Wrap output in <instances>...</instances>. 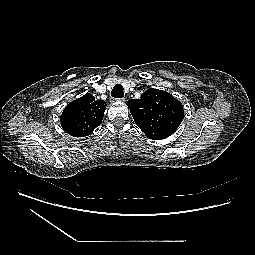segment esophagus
I'll use <instances>...</instances> for the list:
<instances>
[{"mask_svg": "<svg viewBox=\"0 0 255 255\" xmlns=\"http://www.w3.org/2000/svg\"><path fill=\"white\" fill-rule=\"evenodd\" d=\"M116 101H118V102H125V98H118V99H116Z\"/></svg>", "mask_w": 255, "mask_h": 255, "instance_id": "34e87169", "label": "esophagus"}]
</instances>
